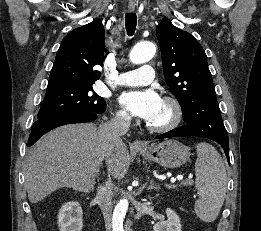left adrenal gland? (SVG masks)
<instances>
[{"label": "left adrenal gland", "instance_id": "obj_1", "mask_svg": "<svg viewBox=\"0 0 261 231\" xmlns=\"http://www.w3.org/2000/svg\"><path fill=\"white\" fill-rule=\"evenodd\" d=\"M159 189L160 186L158 184H155L154 181H151L149 186L147 187V190H159Z\"/></svg>", "mask_w": 261, "mask_h": 231}]
</instances>
